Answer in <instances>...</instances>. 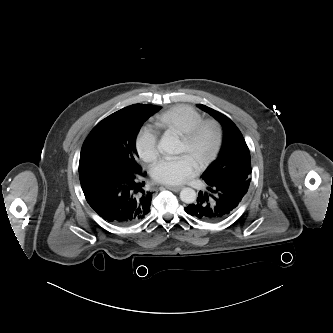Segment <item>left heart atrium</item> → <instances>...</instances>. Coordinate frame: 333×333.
I'll return each mask as SVG.
<instances>
[{"mask_svg":"<svg viewBox=\"0 0 333 333\" xmlns=\"http://www.w3.org/2000/svg\"><path fill=\"white\" fill-rule=\"evenodd\" d=\"M197 165L186 154L167 157L155 163L151 169L152 178L161 184L178 185L192 177Z\"/></svg>","mask_w":333,"mask_h":333,"instance_id":"39dd6f15","label":"left heart atrium"}]
</instances>
